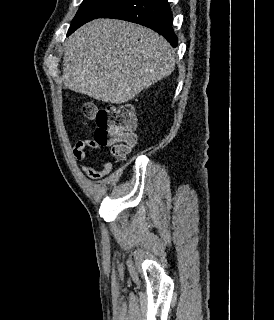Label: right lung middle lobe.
Listing matches in <instances>:
<instances>
[{
	"mask_svg": "<svg viewBox=\"0 0 274 320\" xmlns=\"http://www.w3.org/2000/svg\"><path fill=\"white\" fill-rule=\"evenodd\" d=\"M120 1L121 0H84L72 20L67 36L83 24L97 18Z\"/></svg>",
	"mask_w": 274,
	"mask_h": 320,
	"instance_id": "right-lung-middle-lobe-1",
	"label": "right lung middle lobe"
}]
</instances>
